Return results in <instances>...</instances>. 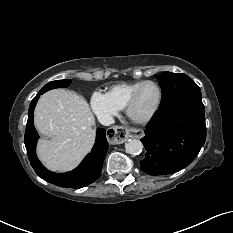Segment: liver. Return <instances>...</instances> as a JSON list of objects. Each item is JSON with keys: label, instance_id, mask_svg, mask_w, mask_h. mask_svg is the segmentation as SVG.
<instances>
[{"label": "liver", "instance_id": "1", "mask_svg": "<svg viewBox=\"0 0 233 233\" xmlns=\"http://www.w3.org/2000/svg\"><path fill=\"white\" fill-rule=\"evenodd\" d=\"M34 123L48 138L39 141L37 155L52 171L72 170L94 144V115L87 101L73 91L56 89L43 94L35 108Z\"/></svg>", "mask_w": 233, "mask_h": 233}]
</instances>
